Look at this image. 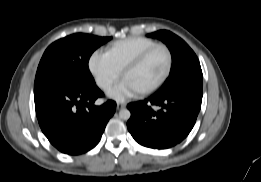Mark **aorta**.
Here are the masks:
<instances>
[{
    "label": "aorta",
    "mask_w": 261,
    "mask_h": 182,
    "mask_svg": "<svg viewBox=\"0 0 261 182\" xmlns=\"http://www.w3.org/2000/svg\"><path fill=\"white\" fill-rule=\"evenodd\" d=\"M130 116H131V113L128 109H121L119 111V117L122 120H128L130 118Z\"/></svg>",
    "instance_id": "1"
}]
</instances>
